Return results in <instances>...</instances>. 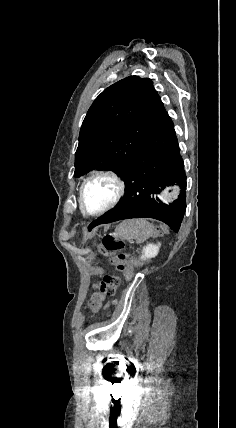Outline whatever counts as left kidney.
I'll list each match as a JSON object with an SVG mask.
<instances>
[{
    "mask_svg": "<svg viewBox=\"0 0 236 428\" xmlns=\"http://www.w3.org/2000/svg\"><path fill=\"white\" fill-rule=\"evenodd\" d=\"M160 244H147L144 246L141 254V260H147V258H155L159 252Z\"/></svg>",
    "mask_w": 236,
    "mask_h": 428,
    "instance_id": "1",
    "label": "left kidney"
}]
</instances>
